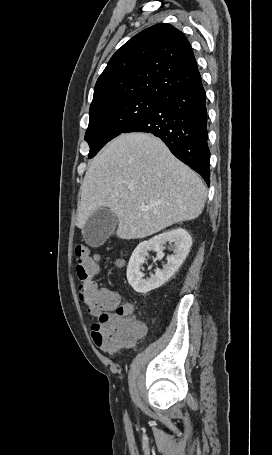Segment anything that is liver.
<instances>
[{
	"label": "liver",
	"mask_w": 272,
	"mask_h": 455,
	"mask_svg": "<svg viewBox=\"0 0 272 455\" xmlns=\"http://www.w3.org/2000/svg\"><path fill=\"white\" fill-rule=\"evenodd\" d=\"M206 197L199 175L175 158L159 138L148 133L121 134L86 171L76 225L82 229L95 211L109 208L118 218V238H145L199 217Z\"/></svg>",
	"instance_id": "obj_1"
}]
</instances>
